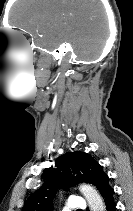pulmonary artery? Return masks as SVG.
I'll return each instance as SVG.
<instances>
[{
	"instance_id": "e3ab8cb5",
	"label": "pulmonary artery",
	"mask_w": 133,
	"mask_h": 211,
	"mask_svg": "<svg viewBox=\"0 0 133 211\" xmlns=\"http://www.w3.org/2000/svg\"><path fill=\"white\" fill-rule=\"evenodd\" d=\"M70 209L83 210L86 208V201L80 196H72L69 202Z\"/></svg>"
}]
</instances>
